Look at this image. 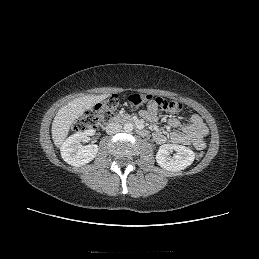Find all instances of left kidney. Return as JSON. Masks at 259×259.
Instances as JSON below:
<instances>
[{
	"mask_svg": "<svg viewBox=\"0 0 259 259\" xmlns=\"http://www.w3.org/2000/svg\"><path fill=\"white\" fill-rule=\"evenodd\" d=\"M176 154L170 156V152ZM195 159L194 152L188 147L177 144H164L160 146L156 161L158 165L168 171H180L191 165Z\"/></svg>",
	"mask_w": 259,
	"mask_h": 259,
	"instance_id": "obj_1",
	"label": "left kidney"
}]
</instances>
